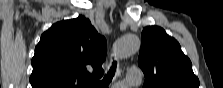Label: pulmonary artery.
Instances as JSON below:
<instances>
[{
  "mask_svg": "<svg viewBox=\"0 0 223 88\" xmlns=\"http://www.w3.org/2000/svg\"><path fill=\"white\" fill-rule=\"evenodd\" d=\"M141 80V71L139 69L132 68L128 71L126 78L123 81L116 83L115 87L138 86L141 83Z\"/></svg>",
  "mask_w": 223,
  "mask_h": 88,
  "instance_id": "1",
  "label": "pulmonary artery"
}]
</instances>
